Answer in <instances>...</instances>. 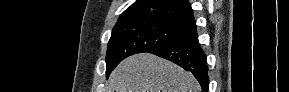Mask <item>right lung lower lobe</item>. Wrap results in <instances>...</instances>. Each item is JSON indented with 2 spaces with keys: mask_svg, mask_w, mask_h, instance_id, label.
Instances as JSON below:
<instances>
[{
  "mask_svg": "<svg viewBox=\"0 0 289 92\" xmlns=\"http://www.w3.org/2000/svg\"><path fill=\"white\" fill-rule=\"evenodd\" d=\"M148 53L172 61L183 69L192 72L200 83L202 91L208 92L209 79L206 55L198 41L196 22L182 37L152 49Z\"/></svg>",
  "mask_w": 289,
  "mask_h": 92,
  "instance_id": "right-lung-lower-lobe-1",
  "label": "right lung lower lobe"
}]
</instances>
